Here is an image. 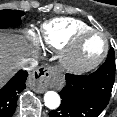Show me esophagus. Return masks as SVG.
Here are the masks:
<instances>
[{"mask_svg":"<svg viewBox=\"0 0 117 117\" xmlns=\"http://www.w3.org/2000/svg\"><path fill=\"white\" fill-rule=\"evenodd\" d=\"M54 74L51 66H41L34 70L29 76V86L38 93H43L49 86Z\"/></svg>","mask_w":117,"mask_h":117,"instance_id":"obj_1","label":"esophagus"}]
</instances>
